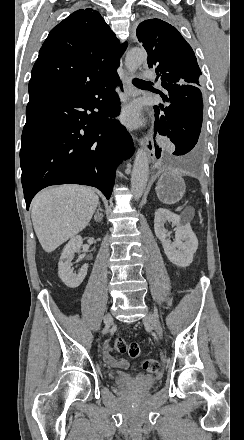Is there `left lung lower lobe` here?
Segmentation results:
<instances>
[{
	"instance_id": "left-lung-lower-lobe-1",
	"label": "left lung lower lobe",
	"mask_w": 244,
	"mask_h": 440,
	"mask_svg": "<svg viewBox=\"0 0 244 440\" xmlns=\"http://www.w3.org/2000/svg\"><path fill=\"white\" fill-rule=\"evenodd\" d=\"M168 95L161 94L163 104L154 106L155 133L166 135L175 144L173 155H184L198 142L203 119V101L199 86L161 83ZM156 157L160 158L161 149L155 147Z\"/></svg>"
}]
</instances>
